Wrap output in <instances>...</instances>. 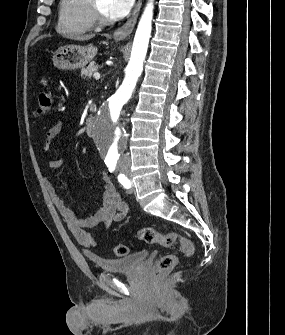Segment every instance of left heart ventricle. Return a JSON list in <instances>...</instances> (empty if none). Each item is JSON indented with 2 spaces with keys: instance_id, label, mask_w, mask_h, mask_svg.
Instances as JSON below:
<instances>
[{
  "instance_id": "1",
  "label": "left heart ventricle",
  "mask_w": 285,
  "mask_h": 335,
  "mask_svg": "<svg viewBox=\"0 0 285 335\" xmlns=\"http://www.w3.org/2000/svg\"><path fill=\"white\" fill-rule=\"evenodd\" d=\"M100 2H101V5H102V8H103V11H104L105 15L108 17V15L106 14L105 8H104L103 1H100ZM108 18H109V17H108Z\"/></svg>"
}]
</instances>
